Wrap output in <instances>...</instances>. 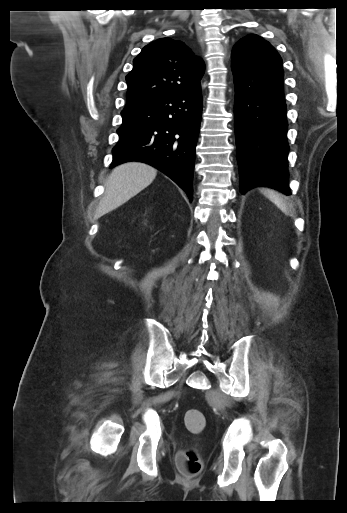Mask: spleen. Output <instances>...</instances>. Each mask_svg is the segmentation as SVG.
<instances>
[{
    "mask_svg": "<svg viewBox=\"0 0 347 513\" xmlns=\"http://www.w3.org/2000/svg\"><path fill=\"white\" fill-rule=\"evenodd\" d=\"M263 194L269 198L277 207L285 214L289 213V209L283 199L275 192L269 189L264 190Z\"/></svg>",
    "mask_w": 347,
    "mask_h": 513,
    "instance_id": "spleen-1",
    "label": "spleen"
}]
</instances>
